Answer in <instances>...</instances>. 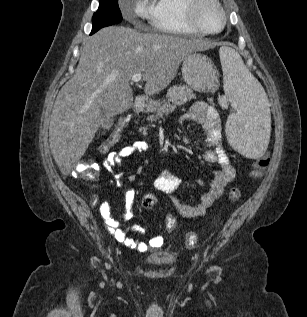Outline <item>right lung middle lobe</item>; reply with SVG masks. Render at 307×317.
I'll list each match as a JSON object with an SVG mask.
<instances>
[{
  "instance_id": "right-lung-middle-lobe-1",
  "label": "right lung middle lobe",
  "mask_w": 307,
  "mask_h": 317,
  "mask_svg": "<svg viewBox=\"0 0 307 317\" xmlns=\"http://www.w3.org/2000/svg\"><path fill=\"white\" fill-rule=\"evenodd\" d=\"M99 3V8L92 17L93 27L91 34L103 27L111 26L122 21L118 0H99Z\"/></svg>"
}]
</instances>
